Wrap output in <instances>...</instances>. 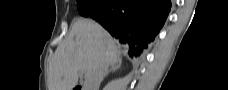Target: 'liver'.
I'll return each instance as SVG.
<instances>
[{"label":"liver","instance_id":"1","mask_svg":"<svg viewBox=\"0 0 228 90\" xmlns=\"http://www.w3.org/2000/svg\"><path fill=\"white\" fill-rule=\"evenodd\" d=\"M102 60H121L114 39L98 23L77 19L59 44L49 64L48 90H73L78 73L87 75Z\"/></svg>","mask_w":228,"mask_h":90}]
</instances>
